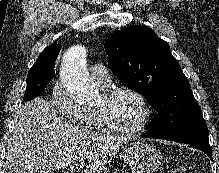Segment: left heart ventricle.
I'll return each instance as SVG.
<instances>
[{
	"label": "left heart ventricle",
	"instance_id": "1",
	"mask_svg": "<svg viewBox=\"0 0 219 173\" xmlns=\"http://www.w3.org/2000/svg\"><path fill=\"white\" fill-rule=\"evenodd\" d=\"M98 107H105L113 124L124 130L135 128L142 117L140 102L128 93L119 94L109 102H106L102 95Z\"/></svg>",
	"mask_w": 219,
	"mask_h": 173
}]
</instances>
